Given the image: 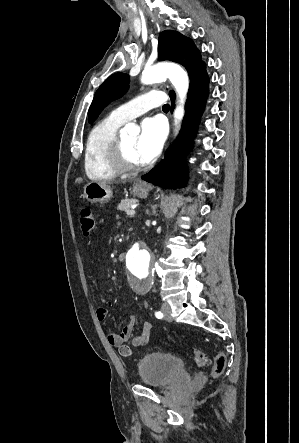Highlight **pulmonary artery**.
<instances>
[{
  "label": "pulmonary artery",
  "instance_id": "e3ab8cb5",
  "mask_svg": "<svg viewBox=\"0 0 299 443\" xmlns=\"http://www.w3.org/2000/svg\"><path fill=\"white\" fill-rule=\"evenodd\" d=\"M166 100L167 96L165 93L156 90L149 91L115 108L110 113V116L122 122H127L152 108L163 105Z\"/></svg>",
  "mask_w": 299,
  "mask_h": 443
}]
</instances>
